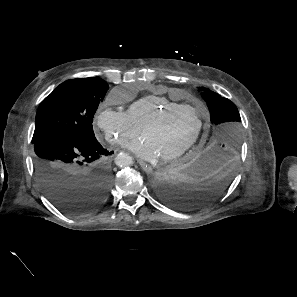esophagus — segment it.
<instances>
[{
    "label": "esophagus",
    "mask_w": 297,
    "mask_h": 297,
    "mask_svg": "<svg viewBox=\"0 0 297 297\" xmlns=\"http://www.w3.org/2000/svg\"><path fill=\"white\" fill-rule=\"evenodd\" d=\"M141 168L148 174L152 173L153 169L150 165L144 163V162H139Z\"/></svg>",
    "instance_id": "esophagus-1"
}]
</instances>
